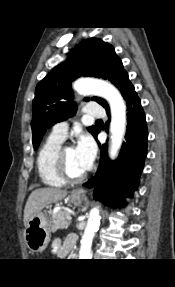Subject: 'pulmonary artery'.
<instances>
[{"mask_svg":"<svg viewBox=\"0 0 175 287\" xmlns=\"http://www.w3.org/2000/svg\"><path fill=\"white\" fill-rule=\"evenodd\" d=\"M84 112L87 116L102 117L105 115V110L98 104L86 105ZM68 132V123L66 121L55 124L52 128L51 134L57 138L64 140Z\"/></svg>","mask_w":175,"mask_h":287,"instance_id":"1","label":"pulmonary artery"}]
</instances>
